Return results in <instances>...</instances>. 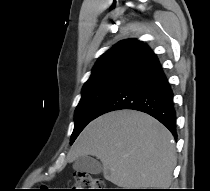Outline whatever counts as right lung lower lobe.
<instances>
[{
  "label": "right lung lower lobe",
  "mask_w": 210,
  "mask_h": 191,
  "mask_svg": "<svg viewBox=\"0 0 210 191\" xmlns=\"http://www.w3.org/2000/svg\"><path fill=\"white\" fill-rule=\"evenodd\" d=\"M145 112L165 125L176 139V112L171 86L153 51L143 44L99 105L95 118L114 110Z\"/></svg>",
  "instance_id": "obj_1"
}]
</instances>
